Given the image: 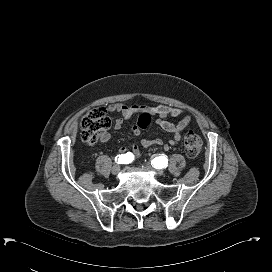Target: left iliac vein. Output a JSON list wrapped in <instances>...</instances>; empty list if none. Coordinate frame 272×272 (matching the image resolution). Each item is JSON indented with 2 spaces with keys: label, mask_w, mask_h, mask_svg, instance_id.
<instances>
[{
  "label": "left iliac vein",
  "mask_w": 272,
  "mask_h": 272,
  "mask_svg": "<svg viewBox=\"0 0 272 272\" xmlns=\"http://www.w3.org/2000/svg\"><path fill=\"white\" fill-rule=\"evenodd\" d=\"M145 167L147 169H154L157 172L158 175H163L164 174V170L163 169H161V168H156L155 169L151 164H146Z\"/></svg>",
  "instance_id": "obj_1"
}]
</instances>
